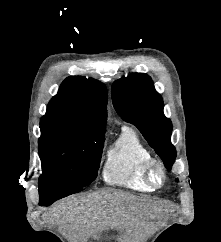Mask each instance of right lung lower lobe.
I'll return each mask as SVG.
<instances>
[{
  "label": "right lung lower lobe",
  "mask_w": 221,
  "mask_h": 242,
  "mask_svg": "<svg viewBox=\"0 0 221 242\" xmlns=\"http://www.w3.org/2000/svg\"><path fill=\"white\" fill-rule=\"evenodd\" d=\"M82 188L70 189V188H58L52 186H44L39 188L40 205L49 206L56 200L81 191Z\"/></svg>",
  "instance_id": "98d812e1"
}]
</instances>
